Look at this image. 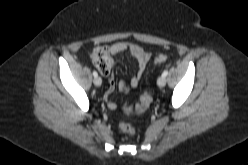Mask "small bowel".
<instances>
[{
  "instance_id": "1",
  "label": "small bowel",
  "mask_w": 248,
  "mask_h": 165,
  "mask_svg": "<svg viewBox=\"0 0 248 165\" xmlns=\"http://www.w3.org/2000/svg\"><path fill=\"white\" fill-rule=\"evenodd\" d=\"M110 53L112 55H116L119 53H124V52H128L130 53L132 56H134L138 62V66H137V72L136 74L131 78V80L129 82H120L118 84V88L121 92L123 93H128L130 92L132 89L136 88L140 82V79L146 69V66L150 60V53L148 51H146L143 47L137 45V44H132L129 42H125V41H118L113 43L110 48ZM103 75L108 77V87H107V95H110L115 87H116V81L115 78L112 74V66L102 72ZM109 107L114 108L115 104L112 101H109Z\"/></svg>"
}]
</instances>
